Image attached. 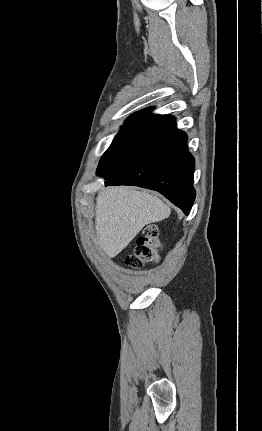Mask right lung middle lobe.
<instances>
[{
	"label": "right lung middle lobe",
	"instance_id": "right-lung-middle-lobe-1",
	"mask_svg": "<svg viewBox=\"0 0 262 431\" xmlns=\"http://www.w3.org/2000/svg\"><path fill=\"white\" fill-rule=\"evenodd\" d=\"M129 129V127H127V126H124L121 130H120V132L116 135V137L114 138V140H113V142H112V144L123 134V133H125L127 130ZM111 144V145H112Z\"/></svg>",
	"mask_w": 262,
	"mask_h": 431
}]
</instances>
